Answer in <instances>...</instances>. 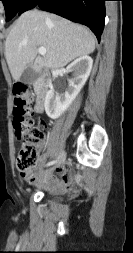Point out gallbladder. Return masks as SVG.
Returning a JSON list of instances; mask_svg holds the SVG:
<instances>
[{"instance_id":"1","label":"gallbladder","mask_w":133,"mask_h":253,"mask_svg":"<svg viewBox=\"0 0 133 253\" xmlns=\"http://www.w3.org/2000/svg\"><path fill=\"white\" fill-rule=\"evenodd\" d=\"M38 77V73L34 71L31 67L25 69L20 77V82L23 84H33Z\"/></svg>"}]
</instances>
